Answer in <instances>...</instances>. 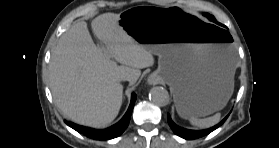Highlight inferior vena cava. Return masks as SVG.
Returning <instances> with one entry per match:
<instances>
[{"instance_id":"inferior-vena-cava-1","label":"inferior vena cava","mask_w":279,"mask_h":148,"mask_svg":"<svg viewBox=\"0 0 279 148\" xmlns=\"http://www.w3.org/2000/svg\"><path fill=\"white\" fill-rule=\"evenodd\" d=\"M127 80H128V77H127V76H124V75H123V76L120 77V81H127Z\"/></svg>"}]
</instances>
